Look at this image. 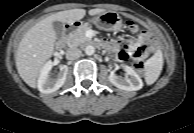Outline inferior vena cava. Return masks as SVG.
Listing matches in <instances>:
<instances>
[{
    "instance_id": "1",
    "label": "inferior vena cava",
    "mask_w": 194,
    "mask_h": 133,
    "mask_svg": "<svg viewBox=\"0 0 194 133\" xmlns=\"http://www.w3.org/2000/svg\"><path fill=\"white\" fill-rule=\"evenodd\" d=\"M82 55V52L80 49L76 47L69 48L66 52V58L68 60H76Z\"/></svg>"
}]
</instances>
